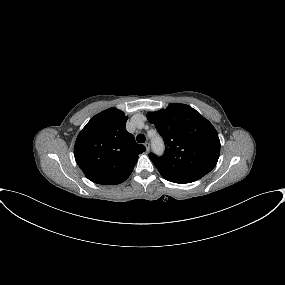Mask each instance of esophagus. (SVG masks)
Here are the masks:
<instances>
[{
  "label": "esophagus",
  "instance_id": "esophagus-1",
  "mask_svg": "<svg viewBox=\"0 0 285 285\" xmlns=\"http://www.w3.org/2000/svg\"><path fill=\"white\" fill-rule=\"evenodd\" d=\"M144 146L146 148L147 151H149L150 149V144L148 142L144 143Z\"/></svg>",
  "mask_w": 285,
  "mask_h": 285
}]
</instances>
